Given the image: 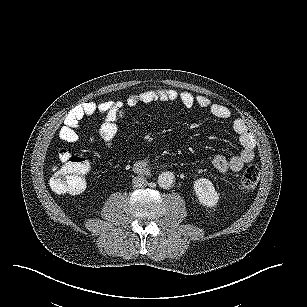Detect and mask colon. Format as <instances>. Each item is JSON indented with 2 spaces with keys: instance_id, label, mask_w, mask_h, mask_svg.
<instances>
[{
  "instance_id": "1",
  "label": "colon",
  "mask_w": 307,
  "mask_h": 307,
  "mask_svg": "<svg viewBox=\"0 0 307 307\" xmlns=\"http://www.w3.org/2000/svg\"><path fill=\"white\" fill-rule=\"evenodd\" d=\"M61 165L57 167L51 177L50 185L57 194H78L86 187L89 171L86 160L68 150L59 153ZM259 169L255 165L245 168L240 179V189L249 191L259 180Z\"/></svg>"
}]
</instances>
